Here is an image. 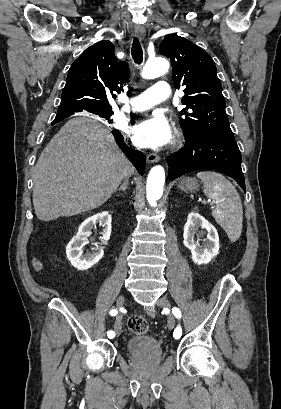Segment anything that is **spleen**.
<instances>
[{"label":"spleen","instance_id":"spleen-1","mask_svg":"<svg viewBox=\"0 0 281 409\" xmlns=\"http://www.w3.org/2000/svg\"><path fill=\"white\" fill-rule=\"evenodd\" d=\"M196 176L203 182V192L215 202L212 215L226 231L231 243L238 241L243 227V209L241 198L232 182L220 172L202 170Z\"/></svg>","mask_w":281,"mask_h":409}]
</instances>
